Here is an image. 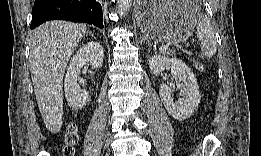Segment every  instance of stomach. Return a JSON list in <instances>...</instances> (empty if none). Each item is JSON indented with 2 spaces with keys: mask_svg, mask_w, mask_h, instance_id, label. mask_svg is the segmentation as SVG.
Segmentation results:
<instances>
[{
  "mask_svg": "<svg viewBox=\"0 0 261 156\" xmlns=\"http://www.w3.org/2000/svg\"><path fill=\"white\" fill-rule=\"evenodd\" d=\"M200 14L193 2H140L135 16L151 40L177 44L192 35Z\"/></svg>",
  "mask_w": 261,
  "mask_h": 156,
  "instance_id": "1",
  "label": "stomach"
}]
</instances>
